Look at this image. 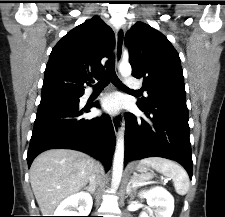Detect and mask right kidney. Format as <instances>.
Wrapping results in <instances>:
<instances>
[{"label": "right kidney", "instance_id": "ca27d5eb", "mask_svg": "<svg viewBox=\"0 0 225 217\" xmlns=\"http://www.w3.org/2000/svg\"><path fill=\"white\" fill-rule=\"evenodd\" d=\"M92 204L91 195L80 192L62 201L57 207L54 216H88L92 209Z\"/></svg>", "mask_w": 225, "mask_h": 217}]
</instances>
